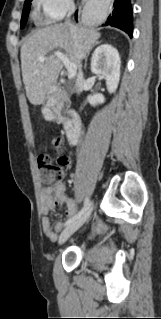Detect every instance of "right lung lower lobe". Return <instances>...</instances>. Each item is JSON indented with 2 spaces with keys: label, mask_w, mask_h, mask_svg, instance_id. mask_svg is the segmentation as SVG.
Returning a JSON list of instances; mask_svg holds the SVG:
<instances>
[{
  "label": "right lung lower lobe",
  "mask_w": 161,
  "mask_h": 319,
  "mask_svg": "<svg viewBox=\"0 0 161 319\" xmlns=\"http://www.w3.org/2000/svg\"><path fill=\"white\" fill-rule=\"evenodd\" d=\"M113 7L112 14L108 16L104 25L117 27L132 37L133 17L130 0H114ZM75 18L77 19V11Z\"/></svg>",
  "instance_id": "right-lung-lower-lobe-1"
}]
</instances>
